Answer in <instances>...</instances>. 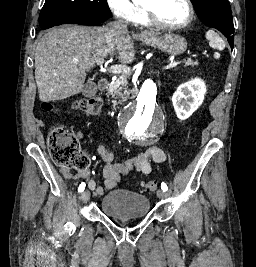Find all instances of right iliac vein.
Listing matches in <instances>:
<instances>
[{"label":"right iliac vein","mask_w":256,"mask_h":267,"mask_svg":"<svg viewBox=\"0 0 256 267\" xmlns=\"http://www.w3.org/2000/svg\"><path fill=\"white\" fill-rule=\"evenodd\" d=\"M90 198V192L88 190L84 191L82 194H81V201L83 203H86Z\"/></svg>","instance_id":"right-iliac-vein-1"}]
</instances>
